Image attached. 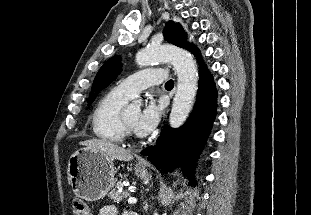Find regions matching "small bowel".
<instances>
[{"label": "small bowel", "mask_w": 311, "mask_h": 215, "mask_svg": "<svg viewBox=\"0 0 311 215\" xmlns=\"http://www.w3.org/2000/svg\"><path fill=\"white\" fill-rule=\"evenodd\" d=\"M99 215H117V209L115 206H105L103 207L100 212ZM124 215H129L128 213H125Z\"/></svg>", "instance_id": "1"}]
</instances>
